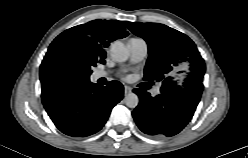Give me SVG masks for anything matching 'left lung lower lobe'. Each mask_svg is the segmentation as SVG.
Segmentation results:
<instances>
[{
	"instance_id": "0a47b994",
	"label": "left lung lower lobe",
	"mask_w": 248,
	"mask_h": 158,
	"mask_svg": "<svg viewBox=\"0 0 248 158\" xmlns=\"http://www.w3.org/2000/svg\"><path fill=\"white\" fill-rule=\"evenodd\" d=\"M140 98L132 112L141 131L152 136H173L191 120L200 101L198 93L185 90L161 92L156 97L142 89L133 90Z\"/></svg>"
}]
</instances>
